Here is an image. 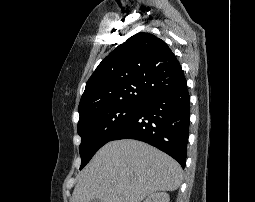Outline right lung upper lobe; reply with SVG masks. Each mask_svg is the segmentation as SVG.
Wrapping results in <instances>:
<instances>
[{
	"label": "right lung upper lobe",
	"instance_id": "cb5924a9",
	"mask_svg": "<svg viewBox=\"0 0 255 202\" xmlns=\"http://www.w3.org/2000/svg\"><path fill=\"white\" fill-rule=\"evenodd\" d=\"M186 82L168 45L150 33H137L112 51L86 83L80 118L110 106L141 105Z\"/></svg>",
	"mask_w": 255,
	"mask_h": 202
}]
</instances>
